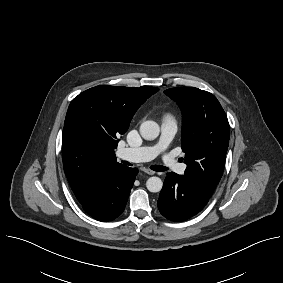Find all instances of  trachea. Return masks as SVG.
Wrapping results in <instances>:
<instances>
[{"mask_svg":"<svg viewBox=\"0 0 283 283\" xmlns=\"http://www.w3.org/2000/svg\"><path fill=\"white\" fill-rule=\"evenodd\" d=\"M150 169L157 171V172H163L167 170V168L162 165H154V166H151Z\"/></svg>","mask_w":283,"mask_h":283,"instance_id":"1","label":"trachea"}]
</instances>
